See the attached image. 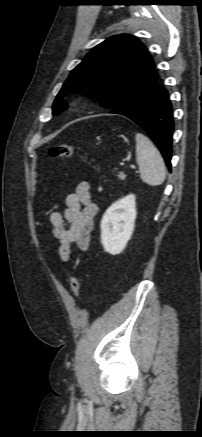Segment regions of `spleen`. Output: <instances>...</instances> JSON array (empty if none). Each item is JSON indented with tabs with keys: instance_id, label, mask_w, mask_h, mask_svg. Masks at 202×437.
<instances>
[{
	"instance_id": "3e777b00",
	"label": "spleen",
	"mask_w": 202,
	"mask_h": 437,
	"mask_svg": "<svg viewBox=\"0 0 202 437\" xmlns=\"http://www.w3.org/2000/svg\"><path fill=\"white\" fill-rule=\"evenodd\" d=\"M135 139L141 180L150 186L161 185L166 178V169L160 152L143 134L137 133Z\"/></svg>"
}]
</instances>
